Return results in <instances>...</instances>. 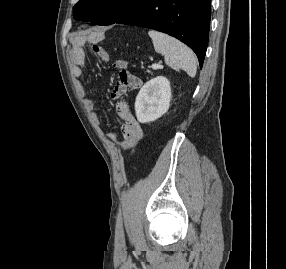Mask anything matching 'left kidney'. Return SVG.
Segmentation results:
<instances>
[{
    "label": "left kidney",
    "mask_w": 286,
    "mask_h": 269,
    "mask_svg": "<svg viewBox=\"0 0 286 269\" xmlns=\"http://www.w3.org/2000/svg\"><path fill=\"white\" fill-rule=\"evenodd\" d=\"M171 101L170 82L166 77L158 76L140 89L136 101L135 112L140 123H148L157 120L165 114Z\"/></svg>",
    "instance_id": "left-kidney-1"
}]
</instances>
